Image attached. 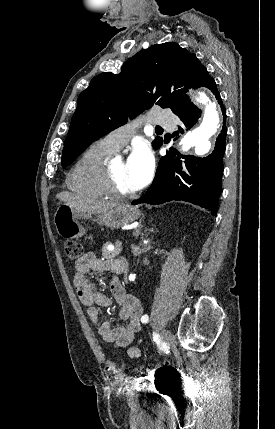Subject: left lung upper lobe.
<instances>
[{
    "mask_svg": "<svg viewBox=\"0 0 275 429\" xmlns=\"http://www.w3.org/2000/svg\"><path fill=\"white\" fill-rule=\"evenodd\" d=\"M204 66L197 57L175 42L155 44L143 49L123 64L119 74L95 76L78 97L65 139L62 166L66 167L91 143L124 125L140 112L159 105L175 113L189 102L184 91L196 88ZM163 143L156 137L154 146Z\"/></svg>",
    "mask_w": 275,
    "mask_h": 429,
    "instance_id": "obj_1",
    "label": "left lung upper lobe"
}]
</instances>
